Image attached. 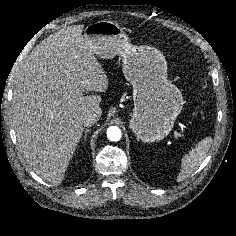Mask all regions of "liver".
Segmentation results:
<instances>
[{
  "instance_id": "1",
  "label": "liver",
  "mask_w": 236,
  "mask_h": 236,
  "mask_svg": "<svg viewBox=\"0 0 236 236\" xmlns=\"http://www.w3.org/2000/svg\"><path fill=\"white\" fill-rule=\"evenodd\" d=\"M83 25L49 35L20 67L13 91V124L19 148L42 179L59 185L83 134L82 116L102 115L108 78ZM95 92L84 95L83 92Z\"/></svg>"
}]
</instances>
